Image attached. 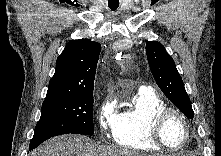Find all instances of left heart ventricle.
<instances>
[{
    "mask_svg": "<svg viewBox=\"0 0 221 156\" xmlns=\"http://www.w3.org/2000/svg\"><path fill=\"white\" fill-rule=\"evenodd\" d=\"M186 136V129L183 121L177 115H170L162 128V138L169 147L180 146Z\"/></svg>",
    "mask_w": 221,
    "mask_h": 156,
    "instance_id": "obj_1",
    "label": "left heart ventricle"
}]
</instances>
